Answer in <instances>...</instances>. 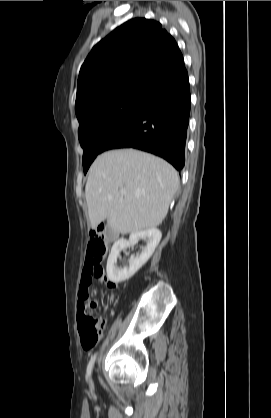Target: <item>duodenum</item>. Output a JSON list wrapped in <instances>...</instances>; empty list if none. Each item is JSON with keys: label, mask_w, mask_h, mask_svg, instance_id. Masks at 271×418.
I'll list each match as a JSON object with an SVG mask.
<instances>
[{"label": "duodenum", "mask_w": 271, "mask_h": 418, "mask_svg": "<svg viewBox=\"0 0 271 418\" xmlns=\"http://www.w3.org/2000/svg\"><path fill=\"white\" fill-rule=\"evenodd\" d=\"M111 239H115V236H112Z\"/></svg>", "instance_id": "obj_1"}]
</instances>
